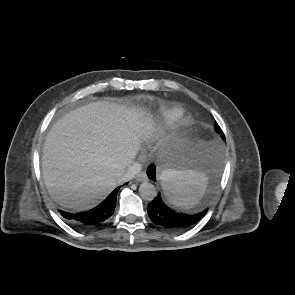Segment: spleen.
<instances>
[{
  "label": "spleen",
  "mask_w": 295,
  "mask_h": 295,
  "mask_svg": "<svg viewBox=\"0 0 295 295\" xmlns=\"http://www.w3.org/2000/svg\"><path fill=\"white\" fill-rule=\"evenodd\" d=\"M161 180L169 201L183 209H189L200 201L207 184L206 175L194 171L164 170Z\"/></svg>",
  "instance_id": "obj_1"
}]
</instances>
